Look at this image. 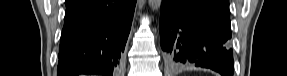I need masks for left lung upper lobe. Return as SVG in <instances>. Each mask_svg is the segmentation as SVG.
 I'll use <instances>...</instances> for the list:
<instances>
[{"instance_id": "obj_1", "label": "left lung upper lobe", "mask_w": 287, "mask_h": 76, "mask_svg": "<svg viewBox=\"0 0 287 76\" xmlns=\"http://www.w3.org/2000/svg\"><path fill=\"white\" fill-rule=\"evenodd\" d=\"M210 4L229 12V0H209Z\"/></svg>"}]
</instances>
